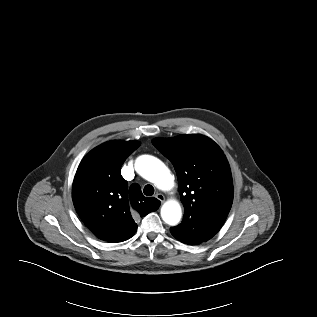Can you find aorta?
I'll return each instance as SVG.
<instances>
[{
	"label": "aorta",
	"instance_id": "1",
	"mask_svg": "<svg viewBox=\"0 0 317 317\" xmlns=\"http://www.w3.org/2000/svg\"><path fill=\"white\" fill-rule=\"evenodd\" d=\"M136 168L139 174L146 180L153 182L161 190H170L174 186V178L167 166L157 157L142 155L136 160ZM163 221L171 226L179 223L182 217V209L178 201L168 200L161 207Z\"/></svg>",
	"mask_w": 317,
	"mask_h": 317
}]
</instances>
